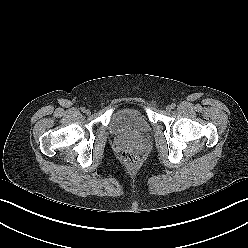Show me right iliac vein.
<instances>
[{
	"label": "right iliac vein",
	"instance_id": "1",
	"mask_svg": "<svg viewBox=\"0 0 248 248\" xmlns=\"http://www.w3.org/2000/svg\"><path fill=\"white\" fill-rule=\"evenodd\" d=\"M86 113H87V114H90V110H86Z\"/></svg>",
	"mask_w": 248,
	"mask_h": 248
}]
</instances>
